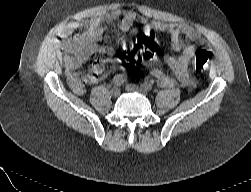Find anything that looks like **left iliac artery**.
Here are the masks:
<instances>
[{"label":"left iliac artery","mask_w":251,"mask_h":192,"mask_svg":"<svg viewBox=\"0 0 251 192\" xmlns=\"http://www.w3.org/2000/svg\"><path fill=\"white\" fill-rule=\"evenodd\" d=\"M141 87H143L147 91H151L152 90V84L149 83V82H144L143 84H141Z\"/></svg>","instance_id":"left-iliac-artery-1"}]
</instances>
